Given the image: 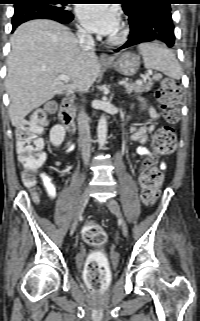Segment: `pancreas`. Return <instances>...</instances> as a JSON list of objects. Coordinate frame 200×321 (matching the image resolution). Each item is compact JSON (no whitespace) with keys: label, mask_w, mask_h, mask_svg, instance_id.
Masks as SVG:
<instances>
[{"label":"pancreas","mask_w":200,"mask_h":321,"mask_svg":"<svg viewBox=\"0 0 200 321\" xmlns=\"http://www.w3.org/2000/svg\"><path fill=\"white\" fill-rule=\"evenodd\" d=\"M153 85L152 80H149L148 82H141V83H132L127 82L124 84V87L128 93H142V92H148L150 91L151 86Z\"/></svg>","instance_id":"1"}]
</instances>
